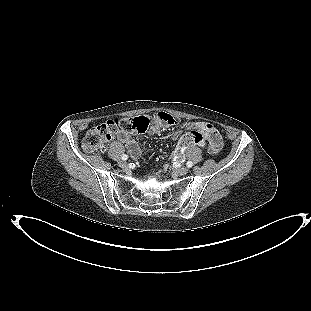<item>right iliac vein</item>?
<instances>
[{"instance_id":"63e3f726","label":"right iliac vein","mask_w":311,"mask_h":311,"mask_svg":"<svg viewBox=\"0 0 311 311\" xmlns=\"http://www.w3.org/2000/svg\"><path fill=\"white\" fill-rule=\"evenodd\" d=\"M119 166L122 167V168H126L128 166V164H127L126 161H120L119 162Z\"/></svg>"}]
</instances>
